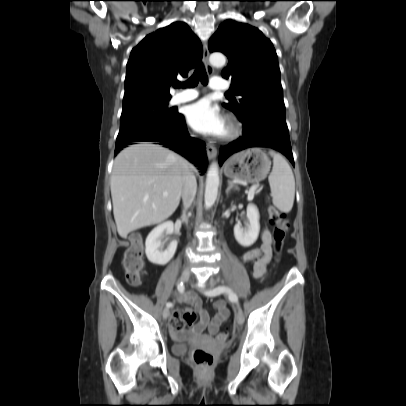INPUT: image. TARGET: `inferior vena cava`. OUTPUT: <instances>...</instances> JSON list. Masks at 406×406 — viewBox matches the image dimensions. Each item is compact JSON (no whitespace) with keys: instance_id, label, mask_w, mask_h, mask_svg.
<instances>
[{"instance_id":"602c4592","label":"inferior vena cava","mask_w":406,"mask_h":406,"mask_svg":"<svg viewBox=\"0 0 406 406\" xmlns=\"http://www.w3.org/2000/svg\"><path fill=\"white\" fill-rule=\"evenodd\" d=\"M197 191V182L190 166H185L182 175V220L187 222L186 212L192 205Z\"/></svg>"}]
</instances>
